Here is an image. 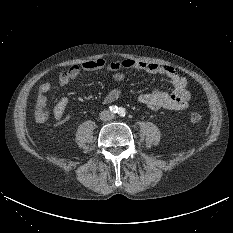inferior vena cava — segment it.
Masks as SVG:
<instances>
[{
  "label": "inferior vena cava",
  "mask_w": 233,
  "mask_h": 233,
  "mask_svg": "<svg viewBox=\"0 0 233 233\" xmlns=\"http://www.w3.org/2000/svg\"><path fill=\"white\" fill-rule=\"evenodd\" d=\"M103 121L111 120L114 118V114L109 111H103L100 115Z\"/></svg>",
  "instance_id": "1"
}]
</instances>
